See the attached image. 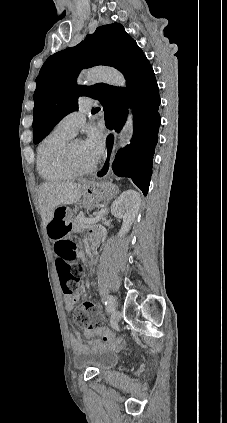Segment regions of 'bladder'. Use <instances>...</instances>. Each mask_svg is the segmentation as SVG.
Instances as JSON below:
<instances>
[{
  "label": "bladder",
  "mask_w": 227,
  "mask_h": 423,
  "mask_svg": "<svg viewBox=\"0 0 227 423\" xmlns=\"http://www.w3.org/2000/svg\"><path fill=\"white\" fill-rule=\"evenodd\" d=\"M78 367L89 366L101 372L112 369L120 362V354L109 349H89L75 357Z\"/></svg>",
  "instance_id": "bladder-1"
}]
</instances>
